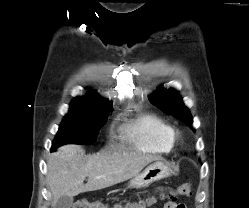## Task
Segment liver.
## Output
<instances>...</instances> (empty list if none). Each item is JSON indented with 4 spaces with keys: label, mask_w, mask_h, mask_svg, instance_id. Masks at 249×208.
Segmentation results:
<instances>
[{
    "label": "liver",
    "mask_w": 249,
    "mask_h": 208,
    "mask_svg": "<svg viewBox=\"0 0 249 208\" xmlns=\"http://www.w3.org/2000/svg\"><path fill=\"white\" fill-rule=\"evenodd\" d=\"M160 157L135 153L106 151L86 156L81 146H61L47 161V183L55 206L62 196L73 197L126 181L138 175L149 163ZM88 181L84 184L85 178Z\"/></svg>",
    "instance_id": "1"
}]
</instances>
